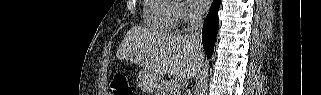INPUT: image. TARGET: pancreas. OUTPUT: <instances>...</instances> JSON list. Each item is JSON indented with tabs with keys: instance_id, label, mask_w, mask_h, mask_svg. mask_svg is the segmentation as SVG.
<instances>
[{
	"instance_id": "cf45deb5",
	"label": "pancreas",
	"mask_w": 321,
	"mask_h": 95,
	"mask_svg": "<svg viewBox=\"0 0 321 95\" xmlns=\"http://www.w3.org/2000/svg\"><path fill=\"white\" fill-rule=\"evenodd\" d=\"M156 95H179V88L174 89L171 81L161 82L158 85Z\"/></svg>"
}]
</instances>
